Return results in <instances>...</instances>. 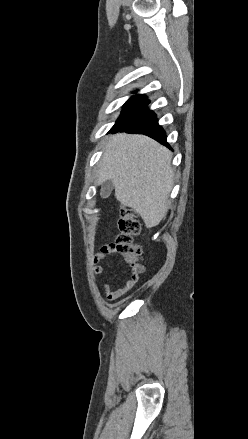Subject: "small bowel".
I'll return each mask as SVG.
<instances>
[{
    "label": "small bowel",
    "mask_w": 248,
    "mask_h": 439,
    "mask_svg": "<svg viewBox=\"0 0 248 439\" xmlns=\"http://www.w3.org/2000/svg\"><path fill=\"white\" fill-rule=\"evenodd\" d=\"M117 253L116 247L113 244H108L103 246L100 251L94 255L92 264L94 268V275L98 276L104 273L105 269L99 263L104 260L107 256ZM139 275H137L132 269L131 277L125 282V284L117 289H113L111 285L104 281L103 287L105 290V296L108 301H114L124 296L131 288L137 283Z\"/></svg>",
    "instance_id": "c3829d8e"
}]
</instances>
